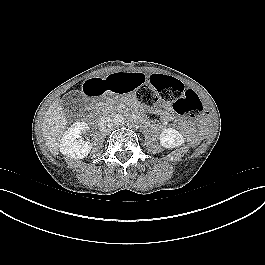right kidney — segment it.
I'll use <instances>...</instances> for the list:
<instances>
[{"label": "right kidney", "mask_w": 265, "mask_h": 265, "mask_svg": "<svg viewBox=\"0 0 265 265\" xmlns=\"http://www.w3.org/2000/svg\"><path fill=\"white\" fill-rule=\"evenodd\" d=\"M87 128L88 125L85 122H76L71 125L61 138L60 152L74 159H83L87 157L92 148L91 143L77 139L79 134Z\"/></svg>", "instance_id": "obj_1"}]
</instances>
